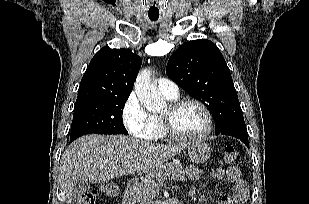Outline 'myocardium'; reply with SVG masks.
Segmentation results:
<instances>
[{"label":"myocardium","mask_w":309,"mask_h":204,"mask_svg":"<svg viewBox=\"0 0 309 204\" xmlns=\"http://www.w3.org/2000/svg\"><path fill=\"white\" fill-rule=\"evenodd\" d=\"M192 103L197 105L205 114L206 117V128L204 131L197 135H185L178 132L173 124L172 117L174 113L181 108L183 105ZM168 110L165 114L161 115V122L164 128L165 133L173 140H182V141H197L205 138L208 136L211 131L213 130V116L209 108L200 100L192 98V97H185L180 99L172 100L168 105Z\"/></svg>","instance_id":"1"}]
</instances>
